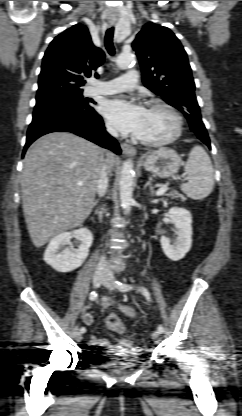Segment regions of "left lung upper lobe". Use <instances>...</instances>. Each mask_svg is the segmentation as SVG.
Here are the masks:
<instances>
[{
    "label": "left lung upper lobe",
    "mask_w": 242,
    "mask_h": 416,
    "mask_svg": "<svg viewBox=\"0 0 242 416\" xmlns=\"http://www.w3.org/2000/svg\"><path fill=\"white\" fill-rule=\"evenodd\" d=\"M132 47L140 62L144 85L180 110L199 139L208 137L194 93L187 53L174 33L167 27L147 23Z\"/></svg>",
    "instance_id": "5c2ea615"
}]
</instances>
